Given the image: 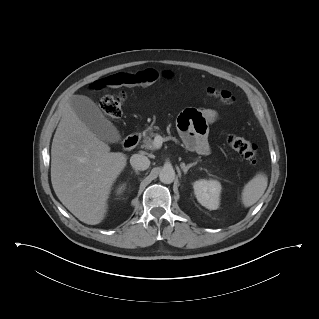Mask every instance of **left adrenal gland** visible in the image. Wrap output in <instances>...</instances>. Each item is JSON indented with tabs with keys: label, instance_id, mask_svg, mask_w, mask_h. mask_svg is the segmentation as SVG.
<instances>
[{
	"label": "left adrenal gland",
	"instance_id": "1",
	"mask_svg": "<svg viewBox=\"0 0 319 319\" xmlns=\"http://www.w3.org/2000/svg\"><path fill=\"white\" fill-rule=\"evenodd\" d=\"M194 165H196V162L190 163V164H188V165H185L184 163H181V164H180V167H181V169L183 170L184 174H186V173L188 172V170H189L192 166H194Z\"/></svg>",
	"mask_w": 319,
	"mask_h": 319
}]
</instances>
